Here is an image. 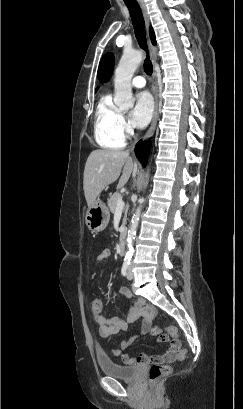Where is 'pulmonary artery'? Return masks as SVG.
Wrapping results in <instances>:
<instances>
[{
  "label": "pulmonary artery",
  "mask_w": 243,
  "mask_h": 409,
  "mask_svg": "<svg viewBox=\"0 0 243 409\" xmlns=\"http://www.w3.org/2000/svg\"><path fill=\"white\" fill-rule=\"evenodd\" d=\"M131 84L136 88H143L146 84V81L144 76L138 75L132 79Z\"/></svg>",
  "instance_id": "pulmonary-artery-1"
}]
</instances>
